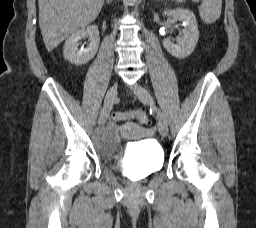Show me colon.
<instances>
[{"mask_svg":"<svg viewBox=\"0 0 256 228\" xmlns=\"http://www.w3.org/2000/svg\"><path fill=\"white\" fill-rule=\"evenodd\" d=\"M113 121L119 122L123 120H131L141 124H148L149 119L146 113L142 110H130V111H116L113 113Z\"/></svg>","mask_w":256,"mask_h":228,"instance_id":"1","label":"colon"}]
</instances>
